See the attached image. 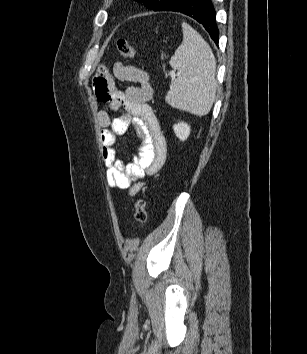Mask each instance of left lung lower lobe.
Wrapping results in <instances>:
<instances>
[{
    "instance_id": "0a47b994",
    "label": "left lung lower lobe",
    "mask_w": 307,
    "mask_h": 354,
    "mask_svg": "<svg viewBox=\"0 0 307 354\" xmlns=\"http://www.w3.org/2000/svg\"><path fill=\"white\" fill-rule=\"evenodd\" d=\"M158 11H175L190 16L199 22L216 44L219 30L216 24V12L211 0H169Z\"/></svg>"
}]
</instances>
